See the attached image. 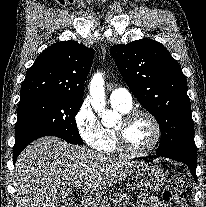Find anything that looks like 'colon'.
I'll list each match as a JSON object with an SVG mask.
<instances>
[{"mask_svg": "<svg viewBox=\"0 0 206 207\" xmlns=\"http://www.w3.org/2000/svg\"><path fill=\"white\" fill-rule=\"evenodd\" d=\"M186 191L181 178L173 177L169 180L163 192V199L168 207H185ZM63 207H76L75 201Z\"/></svg>", "mask_w": 206, "mask_h": 207, "instance_id": "obj_1", "label": "colon"}]
</instances>
